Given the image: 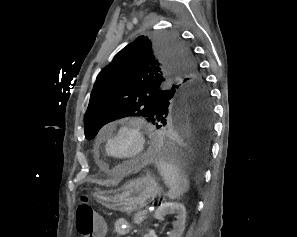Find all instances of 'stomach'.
I'll use <instances>...</instances> for the list:
<instances>
[{
    "label": "stomach",
    "mask_w": 297,
    "mask_h": 237,
    "mask_svg": "<svg viewBox=\"0 0 297 237\" xmlns=\"http://www.w3.org/2000/svg\"><path fill=\"white\" fill-rule=\"evenodd\" d=\"M161 193L155 177L147 173L127 181L118 190L95 192L93 196L106 208L130 214L146 207Z\"/></svg>",
    "instance_id": "1"
}]
</instances>
